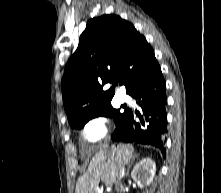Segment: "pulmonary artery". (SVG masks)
<instances>
[{"instance_id":"pulmonary-artery-1","label":"pulmonary artery","mask_w":221,"mask_h":193,"mask_svg":"<svg viewBox=\"0 0 221 193\" xmlns=\"http://www.w3.org/2000/svg\"><path fill=\"white\" fill-rule=\"evenodd\" d=\"M118 97H119L120 101H123V102L129 100V97L123 92L119 93Z\"/></svg>"}]
</instances>
